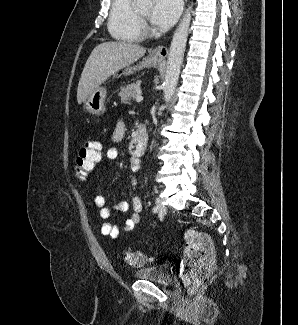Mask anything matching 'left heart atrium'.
<instances>
[{
	"instance_id": "39dd6f15",
	"label": "left heart atrium",
	"mask_w": 298,
	"mask_h": 325,
	"mask_svg": "<svg viewBox=\"0 0 298 325\" xmlns=\"http://www.w3.org/2000/svg\"><path fill=\"white\" fill-rule=\"evenodd\" d=\"M180 12V0H154L150 20L157 28L168 29L175 24Z\"/></svg>"
}]
</instances>
